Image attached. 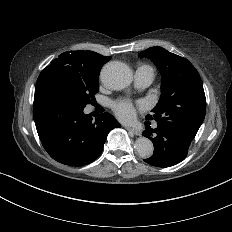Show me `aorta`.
I'll return each instance as SVG.
<instances>
[{
    "instance_id": "obj_1",
    "label": "aorta",
    "mask_w": 232,
    "mask_h": 232,
    "mask_svg": "<svg viewBox=\"0 0 232 232\" xmlns=\"http://www.w3.org/2000/svg\"><path fill=\"white\" fill-rule=\"evenodd\" d=\"M102 83L112 90H121L129 86L132 82V71L119 61L107 63L101 71ZM135 149L140 157L149 158L154 151L153 143L146 137H139L135 142Z\"/></svg>"
}]
</instances>
